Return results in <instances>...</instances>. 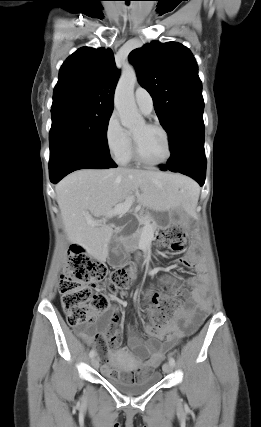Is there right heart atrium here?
Returning a JSON list of instances; mask_svg holds the SVG:
<instances>
[{
  "label": "right heart atrium",
  "mask_w": 261,
  "mask_h": 427,
  "mask_svg": "<svg viewBox=\"0 0 261 427\" xmlns=\"http://www.w3.org/2000/svg\"><path fill=\"white\" fill-rule=\"evenodd\" d=\"M104 138L110 155L122 162L131 149L130 133L121 125L116 112H112L105 124Z\"/></svg>",
  "instance_id": "obj_1"
}]
</instances>
